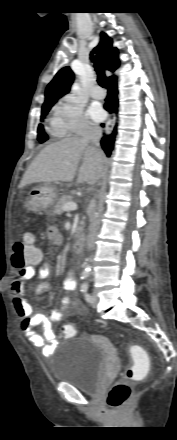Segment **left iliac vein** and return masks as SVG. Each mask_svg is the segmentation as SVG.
<instances>
[{
	"label": "left iliac vein",
	"instance_id": "4c4485c4",
	"mask_svg": "<svg viewBox=\"0 0 177 440\" xmlns=\"http://www.w3.org/2000/svg\"><path fill=\"white\" fill-rule=\"evenodd\" d=\"M92 297L94 300H93V302H91V305L95 308L98 306V297L96 294H93Z\"/></svg>",
	"mask_w": 177,
	"mask_h": 440
}]
</instances>
